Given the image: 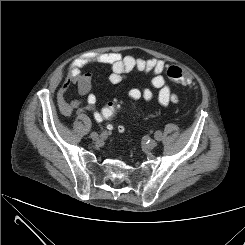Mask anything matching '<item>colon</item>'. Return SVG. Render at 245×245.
I'll list each match as a JSON object with an SVG mask.
<instances>
[{"mask_svg": "<svg viewBox=\"0 0 245 245\" xmlns=\"http://www.w3.org/2000/svg\"><path fill=\"white\" fill-rule=\"evenodd\" d=\"M166 73L169 79L176 83H179L185 86H191L193 84V79L190 73H188L187 71H185L184 69L178 66H170L167 69ZM118 107H119V103L116 101L108 103L107 106H105L103 109V116L106 119H110L114 115ZM117 129L119 132H124L123 126H118Z\"/></svg>", "mask_w": 245, "mask_h": 245, "instance_id": "colon-1", "label": "colon"}]
</instances>
